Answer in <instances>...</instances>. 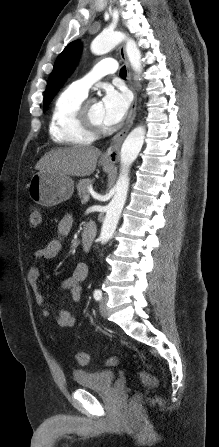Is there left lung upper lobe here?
<instances>
[{
	"label": "left lung upper lobe",
	"mask_w": 219,
	"mask_h": 447,
	"mask_svg": "<svg viewBox=\"0 0 219 447\" xmlns=\"http://www.w3.org/2000/svg\"><path fill=\"white\" fill-rule=\"evenodd\" d=\"M80 50L81 43L79 40H76L68 44L62 51V53H60V55L57 57L53 71L51 72L47 83L44 96L43 111H46L53 97L59 91L68 76L71 74L73 68L76 65Z\"/></svg>",
	"instance_id": "left-lung-upper-lobe-1"
}]
</instances>
